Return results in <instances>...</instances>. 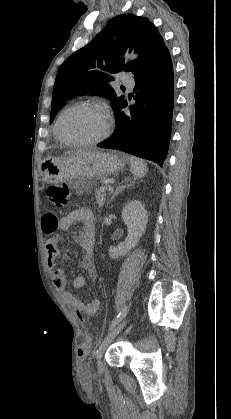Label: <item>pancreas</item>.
I'll use <instances>...</instances> for the list:
<instances>
[{
    "label": "pancreas",
    "instance_id": "pancreas-1",
    "mask_svg": "<svg viewBox=\"0 0 231 419\" xmlns=\"http://www.w3.org/2000/svg\"><path fill=\"white\" fill-rule=\"evenodd\" d=\"M105 196H106L105 191H102L101 188L96 190L95 198H96V202H97V204L99 205L100 208L103 207V205H104Z\"/></svg>",
    "mask_w": 231,
    "mask_h": 419
}]
</instances>
